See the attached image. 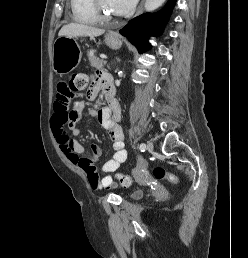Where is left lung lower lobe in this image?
Here are the masks:
<instances>
[{
	"instance_id": "obj_1",
	"label": "left lung lower lobe",
	"mask_w": 248,
	"mask_h": 258,
	"mask_svg": "<svg viewBox=\"0 0 248 258\" xmlns=\"http://www.w3.org/2000/svg\"><path fill=\"white\" fill-rule=\"evenodd\" d=\"M176 0H169L166 6L156 14H142L132 19L119 32L133 43L139 53L148 50L150 36L159 34L166 24Z\"/></svg>"
}]
</instances>
